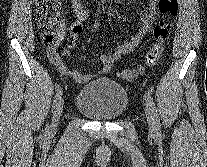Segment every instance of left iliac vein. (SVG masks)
Segmentation results:
<instances>
[{
  "label": "left iliac vein",
  "instance_id": "4c4485c4",
  "mask_svg": "<svg viewBox=\"0 0 207 167\" xmlns=\"http://www.w3.org/2000/svg\"><path fill=\"white\" fill-rule=\"evenodd\" d=\"M145 115H146V120L148 123L149 131L151 133H154V130H155L154 120H153V116H152L150 109H148V108L145 109Z\"/></svg>",
  "mask_w": 207,
  "mask_h": 167
}]
</instances>
